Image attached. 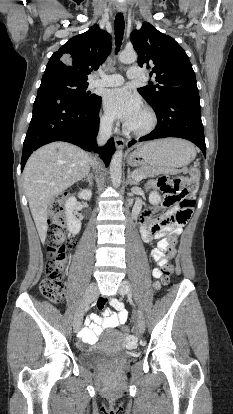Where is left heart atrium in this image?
I'll list each match as a JSON object with an SVG mask.
<instances>
[{
	"mask_svg": "<svg viewBox=\"0 0 233 414\" xmlns=\"http://www.w3.org/2000/svg\"><path fill=\"white\" fill-rule=\"evenodd\" d=\"M103 105L107 114L129 125L142 111L141 100L126 88L106 91Z\"/></svg>",
	"mask_w": 233,
	"mask_h": 414,
	"instance_id": "1",
	"label": "left heart atrium"
}]
</instances>
